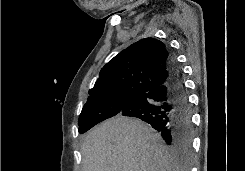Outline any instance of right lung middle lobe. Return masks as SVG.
I'll return each mask as SVG.
<instances>
[{"label": "right lung middle lobe", "instance_id": "obj_1", "mask_svg": "<svg viewBox=\"0 0 245 171\" xmlns=\"http://www.w3.org/2000/svg\"><path fill=\"white\" fill-rule=\"evenodd\" d=\"M133 98L135 97L132 95H119L86 102L79 117V132L84 133L97 123L118 115L123 106Z\"/></svg>", "mask_w": 245, "mask_h": 171}]
</instances>
